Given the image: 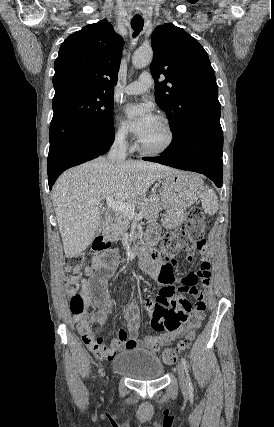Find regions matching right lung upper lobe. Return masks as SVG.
<instances>
[{
	"label": "right lung upper lobe",
	"mask_w": 274,
	"mask_h": 427,
	"mask_svg": "<svg viewBox=\"0 0 274 427\" xmlns=\"http://www.w3.org/2000/svg\"><path fill=\"white\" fill-rule=\"evenodd\" d=\"M124 41L102 20L71 34L54 62L53 102L67 94H111L117 83Z\"/></svg>",
	"instance_id": "obj_1"
}]
</instances>
